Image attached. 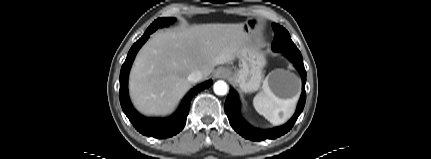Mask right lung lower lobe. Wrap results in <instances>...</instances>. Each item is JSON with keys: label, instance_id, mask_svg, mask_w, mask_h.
I'll return each instance as SVG.
<instances>
[{"label": "right lung lower lobe", "instance_id": "98d812e1", "mask_svg": "<svg viewBox=\"0 0 431 159\" xmlns=\"http://www.w3.org/2000/svg\"><path fill=\"white\" fill-rule=\"evenodd\" d=\"M154 29H147L144 35L137 41L127 55V58L122 65L120 72V103L121 107L133 124V126L139 131L141 134L154 137V138H167L172 137L179 133L186 124V118L189 113L190 102L192 97L199 93L200 91L208 88L213 83L212 80H208L195 88L191 89L190 92L183 99L178 110L169 118L160 119V118H145L140 115L132 106L129 97H128V75L132 65V62L141 48V46L146 42L149 35L153 33Z\"/></svg>", "mask_w": 431, "mask_h": 159}]
</instances>
